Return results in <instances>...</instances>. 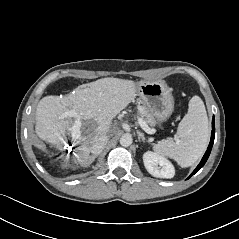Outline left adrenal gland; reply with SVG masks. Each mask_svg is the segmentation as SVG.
Wrapping results in <instances>:
<instances>
[{"label":"left adrenal gland","mask_w":239,"mask_h":239,"mask_svg":"<svg viewBox=\"0 0 239 239\" xmlns=\"http://www.w3.org/2000/svg\"><path fill=\"white\" fill-rule=\"evenodd\" d=\"M137 135H138V140H142L143 142H145V137H144V134L140 131L137 130Z\"/></svg>","instance_id":"left-adrenal-gland-1"}]
</instances>
